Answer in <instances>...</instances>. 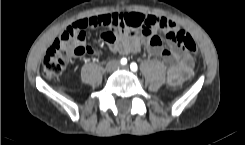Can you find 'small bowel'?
I'll list each match as a JSON object with an SVG mask.
<instances>
[{"label": "small bowel", "instance_id": "small-bowel-1", "mask_svg": "<svg viewBox=\"0 0 245 145\" xmlns=\"http://www.w3.org/2000/svg\"><path fill=\"white\" fill-rule=\"evenodd\" d=\"M102 17L105 19V23L102 25L105 27L102 40L109 45L112 52L126 55L137 51L145 44L151 55L161 56L168 64L167 79L172 86L181 85L193 74L195 60L176 41L173 36L175 25L171 20L141 12H117L106 14ZM151 18L154 20L151 21ZM156 24L166 31L168 48H164L161 41L157 40L159 35L155 34L154 31H150L145 36H136L134 34L136 31H141L142 28ZM79 26L85 27L86 29L91 27L88 24V19L79 21ZM80 43L87 47V54L93 52L92 48L86 45L84 41L81 40Z\"/></svg>", "mask_w": 245, "mask_h": 145}]
</instances>
